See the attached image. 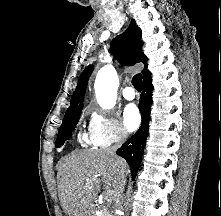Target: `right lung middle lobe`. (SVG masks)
I'll return each instance as SVG.
<instances>
[{"label": "right lung middle lobe", "instance_id": "dd1d6c3e", "mask_svg": "<svg viewBox=\"0 0 221 216\" xmlns=\"http://www.w3.org/2000/svg\"><path fill=\"white\" fill-rule=\"evenodd\" d=\"M81 111L64 117L56 139V147H61L71 137V132L78 123Z\"/></svg>", "mask_w": 221, "mask_h": 216}]
</instances>
